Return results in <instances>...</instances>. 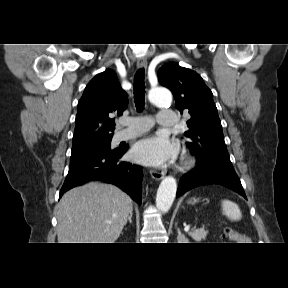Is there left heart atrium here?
Listing matches in <instances>:
<instances>
[{
  "mask_svg": "<svg viewBox=\"0 0 288 288\" xmlns=\"http://www.w3.org/2000/svg\"><path fill=\"white\" fill-rule=\"evenodd\" d=\"M176 152V144L165 134L158 133L136 142L132 149V157L146 165L161 166L172 161Z\"/></svg>",
  "mask_w": 288,
  "mask_h": 288,
  "instance_id": "obj_1",
  "label": "left heart atrium"
}]
</instances>
